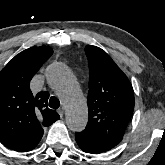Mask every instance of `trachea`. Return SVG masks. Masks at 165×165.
<instances>
[{
    "label": "trachea",
    "mask_w": 165,
    "mask_h": 165,
    "mask_svg": "<svg viewBox=\"0 0 165 165\" xmlns=\"http://www.w3.org/2000/svg\"><path fill=\"white\" fill-rule=\"evenodd\" d=\"M59 106H60V101L56 97L52 96L49 100V107L53 109H57L59 108Z\"/></svg>",
    "instance_id": "3493384b"
}]
</instances>
